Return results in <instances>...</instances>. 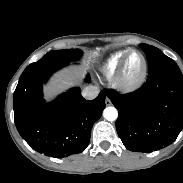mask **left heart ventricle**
Returning <instances> with one entry per match:
<instances>
[{
	"mask_svg": "<svg viewBox=\"0 0 183 183\" xmlns=\"http://www.w3.org/2000/svg\"><path fill=\"white\" fill-rule=\"evenodd\" d=\"M142 61L139 55L132 54L126 64L125 76L127 78H134L140 72Z\"/></svg>",
	"mask_w": 183,
	"mask_h": 183,
	"instance_id": "b2bd125f",
	"label": "left heart ventricle"
}]
</instances>
